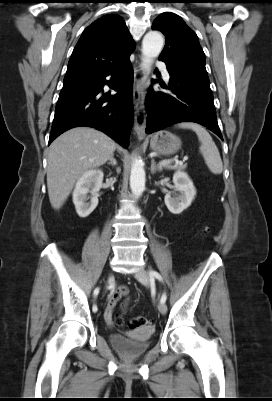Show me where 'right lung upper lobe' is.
I'll use <instances>...</instances> for the list:
<instances>
[{
    "mask_svg": "<svg viewBox=\"0 0 272 401\" xmlns=\"http://www.w3.org/2000/svg\"><path fill=\"white\" fill-rule=\"evenodd\" d=\"M134 41L122 17L105 15L82 33L68 62L63 89L104 74L134 50Z\"/></svg>",
    "mask_w": 272,
    "mask_h": 401,
    "instance_id": "right-lung-upper-lobe-1",
    "label": "right lung upper lobe"
}]
</instances>
